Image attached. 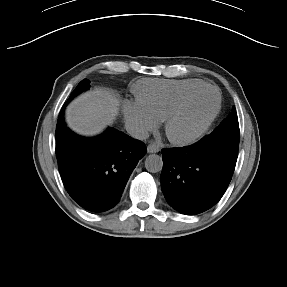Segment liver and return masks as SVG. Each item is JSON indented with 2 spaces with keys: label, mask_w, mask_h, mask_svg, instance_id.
Masks as SVG:
<instances>
[{
  "label": "liver",
  "mask_w": 287,
  "mask_h": 287,
  "mask_svg": "<svg viewBox=\"0 0 287 287\" xmlns=\"http://www.w3.org/2000/svg\"><path fill=\"white\" fill-rule=\"evenodd\" d=\"M118 106L119 100L112 91L104 88L88 91L67 107V125L80 135H96L113 123Z\"/></svg>",
  "instance_id": "liver-1"
}]
</instances>
